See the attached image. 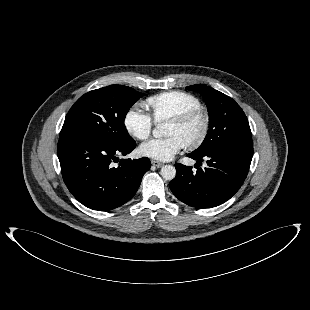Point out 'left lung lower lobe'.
I'll use <instances>...</instances> for the list:
<instances>
[{
	"label": "left lung lower lobe",
	"mask_w": 310,
	"mask_h": 310,
	"mask_svg": "<svg viewBox=\"0 0 310 310\" xmlns=\"http://www.w3.org/2000/svg\"><path fill=\"white\" fill-rule=\"evenodd\" d=\"M253 144L241 142L222 146L202 155L194 152L188 157L201 165L208 159L207 168L193 172L191 166L175 164L176 176L169 183L173 194L192 207L211 208L230 199L243 184L251 164Z\"/></svg>",
	"instance_id": "0a47b994"
}]
</instances>
